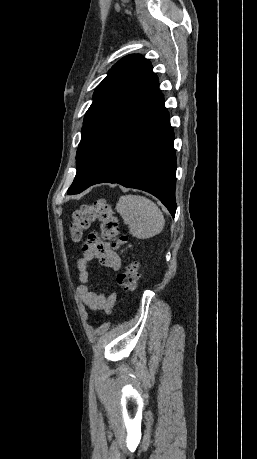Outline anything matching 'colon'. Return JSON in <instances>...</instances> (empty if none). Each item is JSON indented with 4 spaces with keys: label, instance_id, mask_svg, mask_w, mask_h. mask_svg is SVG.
<instances>
[{
    "label": "colon",
    "instance_id": "obj_1",
    "mask_svg": "<svg viewBox=\"0 0 257 459\" xmlns=\"http://www.w3.org/2000/svg\"><path fill=\"white\" fill-rule=\"evenodd\" d=\"M100 222L101 237L111 242L114 248L128 249V239L119 233L118 220L113 214L108 200L99 198L92 204L83 205L75 210L69 225L70 236L73 242L81 240L94 221ZM139 267L136 263L127 264L117 276L118 285L125 291H134L138 286Z\"/></svg>",
    "mask_w": 257,
    "mask_h": 459
}]
</instances>
